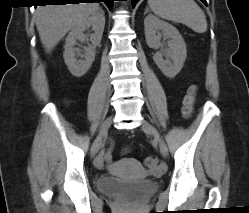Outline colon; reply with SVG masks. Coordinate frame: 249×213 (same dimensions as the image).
I'll use <instances>...</instances> for the list:
<instances>
[{
    "label": "colon",
    "mask_w": 249,
    "mask_h": 213,
    "mask_svg": "<svg viewBox=\"0 0 249 213\" xmlns=\"http://www.w3.org/2000/svg\"><path fill=\"white\" fill-rule=\"evenodd\" d=\"M196 97H197V87L196 86L189 87L183 99L182 112L184 116L190 117L192 115L194 111ZM143 164L147 170H156L159 167L160 162L156 156H148L144 159Z\"/></svg>",
    "instance_id": "5ec220e1"
}]
</instances>
